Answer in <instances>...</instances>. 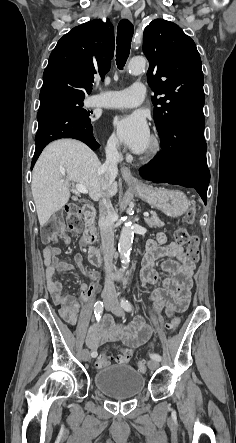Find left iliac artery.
<instances>
[{"label":"left iliac artery","mask_w":236,"mask_h":443,"mask_svg":"<svg viewBox=\"0 0 236 443\" xmlns=\"http://www.w3.org/2000/svg\"><path fill=\"white\" fill-rule=\"evenodd\" d=\"M121 307L125 310V311H132V304L130 303V301H128L125 297H123L121 299ZM150 358L156 361H160L161 360V356L158 354H150Z\"/></svg>","instance_id":"44dca946"}]
</instances>
